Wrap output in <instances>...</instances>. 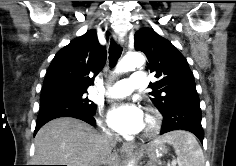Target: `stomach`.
<instances>
[{"instance_id":"1","label":"stomach","mask_w":236,"mask_h":166,"mask_svg":"<svg viewBox=\"0 0 236 166\" xmlns=\"http://www.w3.org/2000/svg\"><path fill=\"white\" fill-rule=\"evenodd\" d=\"M168 152V149L164 143L152 142L148 148L143 152L149 161L147 166H159L161 164V158Z\"/></svg>"}]
</instances>
